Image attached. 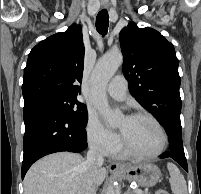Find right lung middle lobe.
Listing matches in <instances>:
<instances>
[{"label":"right lung middle lobe","instance_id":"1","mask_svg":"<svg viewBox=\"0 0 201 194\" xmlns=\"http://www.w3.org/2000/svg\"><path fill=\"white\" fill-rule=\"evenodd\" d=\"M32 101L49 104L60 109L65 115L78 125L85 127L87 124V108L77 98L59 95H44Z\"/></svg>","mask_w":201,"mask_h":194}]
</instances>
